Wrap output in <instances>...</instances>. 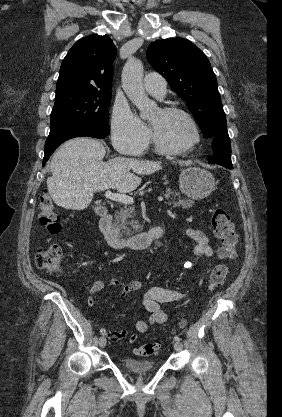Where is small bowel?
I'll list each match as a JSON object with an SVG mask.
<instances>
[{"instance_id": "obj_1", "label": "small bowel", "mask_w": 282, "mask_h": 417, "mask_svg": "<svg viewBox=\"0 0 282 417\" xmlns=\"http://www.w3.org/2000/svg\"><path fill=\"white\" fill-rule=\"evenodd\" d=\"M184 234L195 242L194 255L197 258H208L213 255V249L210 246L208 235L196 228H185ZM223 254L221 253V256ZM191 264L188 263L187 266ZM117 287L120 289L122 296L131 292L145 290L143 295V305L149 313L147 320L136 322V332L129 334L128 330L123 328L115 331H107L108 338L116 343H123L128 339L129 343H134L139 336L145 333L148 328L155 324H164L167 321V313L160 308V304L175 303L184 301L189 297V292L181 289L168 288L162 286L146 287L141 281H130L123 283L118 279L98 280L87 290V304L92 307L95 304L96 297L108 287Z\"/></svg>"}]
</instances>
